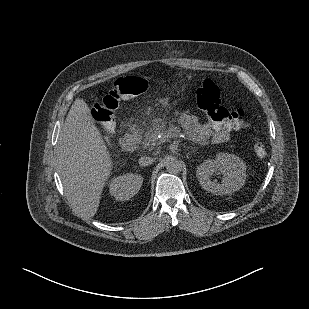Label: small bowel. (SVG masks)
I'll list each match as a JSON object with an SVG mask.
<instances>
[{"label":"small bowel","mask_w":309,"mask_h":309,"mask_svg":"<svg viewBox=\"0 0 309 309\" xmlns=\"http://www.w3.org/2000/svg\"><path fill=\"white\" fill-rule=\"evenodd\" d=\"M184 129L187 136L197 142L225 143L230 140L232 127L219 126L211 122H200L192 114L185 116L183 120Z\"/></svg>","instance_id":"obj_1"}]
</instances>
